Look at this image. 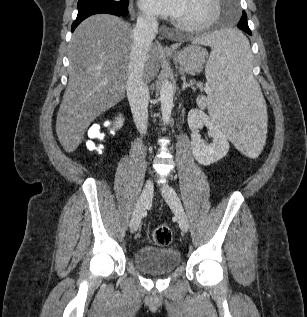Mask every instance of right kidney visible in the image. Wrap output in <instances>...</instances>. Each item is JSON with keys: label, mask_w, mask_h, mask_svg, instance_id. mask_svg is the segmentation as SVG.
<instances>
[{"label": "right kidney", "mask_w": 307, "mask_h": 317, "mask_svg": "<svg viewBox=\"0 0 307 317\" xmlns=\"http://www.w3.org/2000/svg\"><path fill=\"white\" fill-rule=\"evenodd\" d=\"M124 121H125L124 117L121 114H119V116L115 118L113 129L114 130L121 129L124 125Z\"/></svg>", "instance_id": "ca27d5eb"}]
</instances>
